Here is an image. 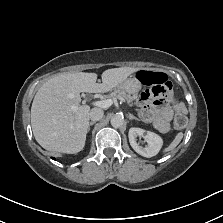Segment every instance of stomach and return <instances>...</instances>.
<instances>
[{
  "instance_id": "0dacf381",
  "label": "stomach",
  "mask_w": 223,
  "mask_h": 223,
  "mask_svg": "<svg viewBox=\"0 0 223 223\" xmlns=\"http://www.w3.org/2000/svg\"><path fill=\"white\" fill-rule=\"evenodd\" d=\"M140 80L127 78L118 83L116 88L126 89L127 91L137 92L140 89Z\"/></svg>"
}]
</instances>
